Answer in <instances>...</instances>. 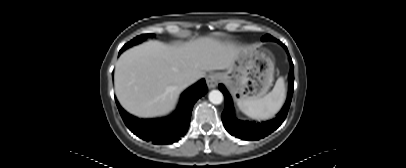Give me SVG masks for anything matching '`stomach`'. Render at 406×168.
<instances>
[{
  "instance_id": "0dacf381",
  "label": "stomach",
  "mask_w": 406,
  "mask_h": 168,
  "mask_svg": "<svg viewBox=\"0 0 406 168\" xmlns=\"http://www.w3.org/2000/svg\"><path fill=\"white\" fill-rule=\"evenodd\" d=\"M273 74L271 55L251 46L243 48L233 66L220 76L235 101L239 102L264 97L272 86Z\"/></svg>"
}]
</instances>
